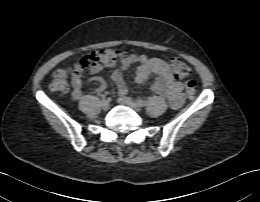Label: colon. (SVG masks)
Returning a JSON list of instances; mask_svg holds the SVG:
<instances>
[{
  "instance_id": "colon-1",
  "label": "colon",
  "mask_w": 260,
  "mask_h": 202,
  "mask_svg": "<svg viewBox=\"0 0 260 202\" xmlns=\"http://www.w3.org/2000/svg\"><path fill=\"white\" fill-rule=\"evenodd\" d=\"M120 56V51L115 48H104L83 56L70 67H60L53 72L49 87L52 91L67 93L70 89L69 78L71 75L83 73L86 69L95 66H114ZM170 66L175 76L185 78L191 75V68L181 59L172 58ZM186 94L190 99H194L197 92V84L194 80L185 81Z\"/></svg>"
}]
</instances>
